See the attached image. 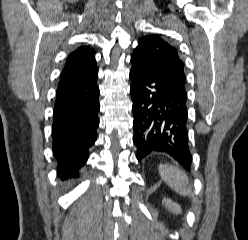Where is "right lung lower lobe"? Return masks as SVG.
I'll use <instances>...</instances> for the list:
<instances>
[{
    "label": "right lung lower lobe",
    "instance_id": "1",
    "mask_svg": "<svg viewBox=\"0 0 248 240\" xmlns=\"http://www.w3.org/2000/svg\"><path fill=\"white\" fill-rule=\"evenodd\" d=\"M97 68L59 84L53 110V155L58 175L73 176L86 163L99 125Z\"/></svg>",
    "mask_w": 248,
    "mask_h": 240
}]
</instances>
